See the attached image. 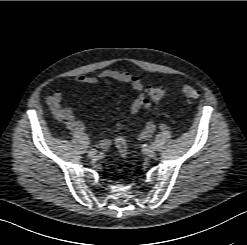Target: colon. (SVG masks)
I'll return each instance as SVG.
<instances>
[{
  "mask_svg": "<svg viewBox=\"0 0 247 245\" xmlns=\"http://www.w3.org/2000/svg\"><path fill=\"white\" fill-rule=\"evenodd\" d=\"M181 92L190 101L199 97V91L188 85L182 86ZM148 94L152 101L157 102L164 97L165 90L163 88H150ZM115 144L120 156L125 158L127 155L126 140L123 137H118L115 141Z\"/></svg>",
  "mask_w": 247,
  "mask_h": 245,
  "instance_id": "5ec220e1",
  "label": "colon"
}]
</instances>
